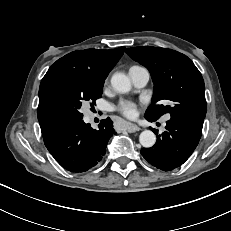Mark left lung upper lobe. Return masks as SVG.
I'll list each match as a JSON object with an SVG mask.
<instances>
[{
  "mask_svg": "<svg viewBox=\"0 0 231 231\" xmlns=\"http://www.w3.org/2000/svg\"><path fill=\"white\" fill-rule=\"evenodd\" d=\"M126 53L149 70L154 82L152 104L145 116L157 120L170 113L171 119L203 127L207 111L205 85L201 73L187 56L152 46L127 48ZM159 101L167 105H157Z\"/></svg>",
  "mask_w": 231,
  "mask_h": 231,
  "instance_id": "1",
  "label": "left lung upper lobe"
}]
</instances>
